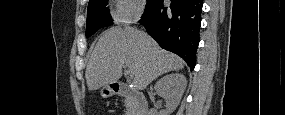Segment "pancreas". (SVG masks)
<instances>
[{
  "instance_id": "1",
  "label": "pancreas",
  "mask_w": 285,
  "mask_h": 115,
  "mask_svg": "<svg viewBox=\"0 0 285 115\" xmlns=\"http://www.w3.org/2000/svg\"><path fill=\"white\" fill-rule=\"evenodd\" d=\"M125 106L127 108V112H130L132 109V98L131 97H127L125 99Z\"/></svg>"
}]
</instances>
